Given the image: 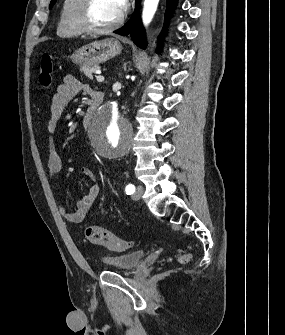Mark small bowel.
I'll return each instance as SVG.
<instances>
[{
	"label": "small bowel",
	"instance_id": "1",
	"mask_svg": "<svg viewBox=\"0 0 285 335\" xmlns=\"http://www.w3.org/2000/svg\"><path fill=\"white\" fill-rule=\"evenodd\" d=\"M86 92L93 96V99H99V95L92 93L90 89L83 85L73 76H66L62 84H60L51 99L50 104V118L48 121V131L50 138L47 144V165L52 175L57 174L62 169V160L57 152L53 134L55 133L62 115L68 103L79 93ZM82 174L90 179L95 178L92 169L84 168ZM101 193V185L94 182L87 194L80 200L77 209L74 212H67L64 206H60L59 212L63 218L72 224H78L84 221L90 209L98 199Z\"/></svg>",
	"mask_w": 285,
	"mask_h": 335
}]
</instances>
